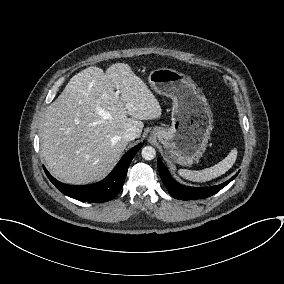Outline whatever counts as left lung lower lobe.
<instances>
[{
  "mask_svg": "<svg viewBox=\"0 0 284 284\" xmlns=\"http://www.w3.org/2000/svg\"><path fill=\"white\" fill-rule=\"evenodd\" d=\"M158 170L164 183L165 187L169 191V193L176 199L180 200H194V199H203L210 197L220 191L223 187L229 184L239 172H237L231 179L228 181L211 187H188L179 184L176 182L169 174L167 168L163 164V162L158 159L157 160Z\"/></svg>",
  "mask_w": 284,
  "mask_h": 284,
  "instance_id": "obj_1",
  "label": "left lung lower lobe"
}]
</instances>
